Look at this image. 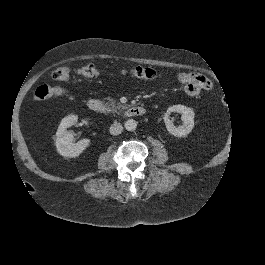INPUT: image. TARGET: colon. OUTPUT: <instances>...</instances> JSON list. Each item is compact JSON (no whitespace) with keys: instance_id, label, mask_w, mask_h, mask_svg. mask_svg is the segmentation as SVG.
I'll return each mask as SVG.
<instances>
[{"instance_id":"1","label":"colon","mask_w":265,"mask_h":265,"mask_svg":"<svg viewBox=\"0 0 265 265\" xmlns=\"http://www.w3.org/2000/svg\"><path fill=\"white\" fill-rule=\"evenodd\" d=\"M78 73L84 77H94L98 75L99 71L94 65H87L78 70ZM130 73L143 80H152L157 77L155 70L149 67H134L130 70ZM70 71L67 67H58L52 73V77L58 81H65L69 78ZM64 95V91L60 88L53 87L47 84L39 85L33 93V97L37 101L47 100L53 97H58Z\"/></svg>"}]
</instances>
